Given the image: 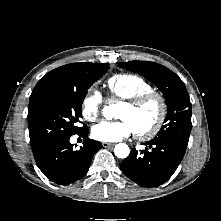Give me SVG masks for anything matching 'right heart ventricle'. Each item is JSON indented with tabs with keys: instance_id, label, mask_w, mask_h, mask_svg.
<instances>
[{
	"instance_id": "e07e8e85",
	"label": "right heart ventricle",
	"mask_w": 221,
	"mask_h": 221,
	"mask_svg": "<svg viewBox=\"0 0 221 221\" xmlns=\"http://www.w3.org/2000/svg\"><path fill=\"white\" fill-rule=\"evenodd\" d=\"M106 86L113 97L122 100H129L153 90L148 81L131 73H120L111 76L107 80Z\"/></svg>"
}]
</instances>
